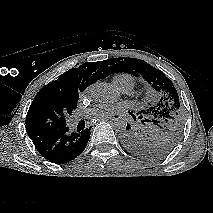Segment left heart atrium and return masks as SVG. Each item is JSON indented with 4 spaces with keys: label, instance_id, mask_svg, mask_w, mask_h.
<instances>
[{
    "label": "left heart atrium",
    "instance_id": "1",
    "mask_svg": "<svg viewBox=\"0 0 213 213\" xmlns=\"http://www.w3.org/2000/svg\"><path fill=\"white\" fill-rule=\"evenodd\" d=\"M120 110L117 105L97 104L88 110L87 115L92 118H105Z\"/></svg>",
    "mask_w": 213,
    "mask_h": 213
}]
</instances>
